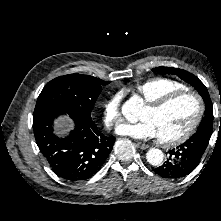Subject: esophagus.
<instances>
[{"instance_id": "1", "label": "esophagus", "mask_w": 221, "mask_h": 221, "mask_svg": "<svg viewBox=\"0 0 221 221\" xmlns=\"http://www.w3.org/2000/svg\"><path fill=\"white\" fill-rule=\"evenodd\" d=\"M136 145H137L138 148L143 149V150L149 148V145H147L145 143H141V142H137Z\"/></svg>"}]
</instances>
